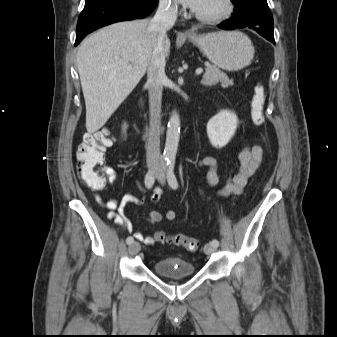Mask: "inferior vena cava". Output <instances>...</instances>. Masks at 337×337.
<instances>
[{"label": "inferior vena cava", "mask_w": 337, "mask_h": 337, "mask_svg": "<svg viewBox=\"0 0 337 337\" xmlns=\"http://www.w3.org/2000/svg\"><path fill=\"white\" fill-rule=\"evenodd\" d=\"M177 18V6L167 0H160L158 10L150 21L149 29L158 32L157 44L147 70V86L149 91L150 127L146 145L147 162L157 163L161 159L160 127L161 100L165 75V55L163 41L166 31L170 29Z\"/></svg>", "instance_id": "1"}]
</instances>
